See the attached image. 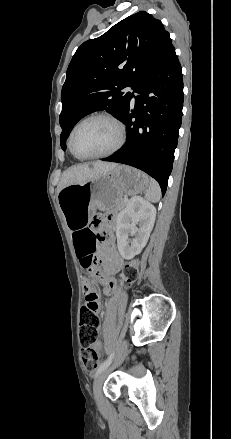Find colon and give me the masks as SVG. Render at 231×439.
<instances>
[{
  "instance_id": "obj_1",
  "label": "colon",
  "mask_w": 231,
  "mask_h": 439,
  "mask_svg": "<svg viewBox=\"0 0 231 439\" xmlns=\"http://www.w3.org/2000/svg\"><path fill=\"white\" fill-rule=\"evenodd\" d=\"M104 226L111 224V218H98ZM98 239L105 240L106 234H99ZM85 269L94 266V253L89 254L83 261ZM138 275L137 263L126 264L122 269L121 278L125 281H133ZM101 320L92 307L83 306L80 314V344L82 347V360L87 370H94L99 362V352L93 346L99 338Z\"/></svg>"
}]
</instances>
